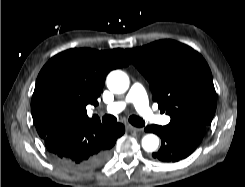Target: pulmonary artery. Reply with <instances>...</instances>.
Wrapping results in <instances>:
<instances>
[{"label": "pulmonary artery", "mask_w": 245, "mask_h": 187, "mask_svg": "<svg viewBox=\"0 0 245 187\" xmlns=\"http://www.w3.org/2000/svg\"><path fill=\"white\" fill-rule=\"evenodd\" d=\"M129 103L132 104L137 112L146 120L164 125L170 122L169 116L159 115L150 107L145 89L139 83H134L131 86L124 101L109 104L104 108V111L109 114H118L123 111Z\"/></svg>", "instance_id": "obj_1"}]
</instances>
